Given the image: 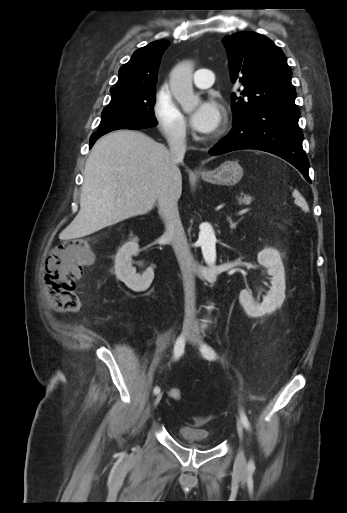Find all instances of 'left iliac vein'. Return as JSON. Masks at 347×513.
I'll return each mask as SVG.
<instances>
[{"label":"left iliac vein","instance_id":"obj_1","mask_svg":"<svg viewBox=\"0 0 347 513\" xmlns=\"http://www.w3.org/2000/svg\"><path fill=\"white\" fill-rule=\"evenodd\" d=\"M191 341L197 345L200 346L202 343L201 336L199 335V331L196 325L192 327L191 334H190ZM237 432L240 440L243 439V426L242 422L238 419L237 420ZM247 463H246V457L244 450L242 448L239 449L238 454L235 459L234 468L237 473H242L246 470Z\"/></svg>","mask_w":347,"mask_h":513}]
</instances>
